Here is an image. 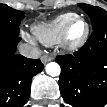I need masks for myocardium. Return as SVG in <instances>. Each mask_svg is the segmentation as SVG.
<instances>
[{
    "mask_svg": "<svg viewBox=\"0 0 107 107\" xmlns=\"http://www.w3.org/2000/svg\"><path fill=\"white\" fill-rule=\"evenodd\" d=\"M77 20H80L84 23V31L82 35L77 39H72L70 37V29L73 23ZM90 34V26L85 18L79 15H75L65 26L62 37L59 41L61 47L67 51H75L81 48L87 41Z\"/></svg>",
    "mask_w": 107,
    "mask_h": 107,
    "instance_id": "1",
    "label": "myocardium"
}]
</instances>
